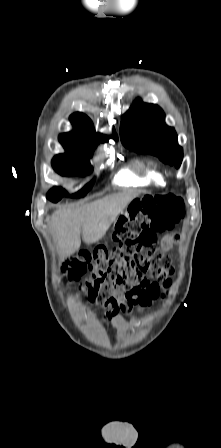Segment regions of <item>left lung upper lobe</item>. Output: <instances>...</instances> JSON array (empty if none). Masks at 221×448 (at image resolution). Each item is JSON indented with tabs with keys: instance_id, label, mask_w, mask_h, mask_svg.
<instances>
[{
	"instance_id": "left-lung-upper-lobe-1",
	"label": "left lung upper lobe",
	"mask_w": 221,
	"mask_h": 448,
	"mask_svg": "<svg viewBox=\"0 0 221 448\" xmlns=\"http://www.w3.org/2000/svg\"><path fill=\"white\" fill-rule=\"evenodd\" d=\"M162 109L137 99L123 115L120 137L127 148L157 156L164 163L180 167L183 150L174 128L168 127Z\"/></svg>"
}]
</instances>
